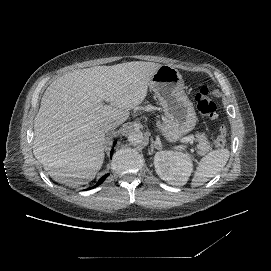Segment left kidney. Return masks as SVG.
I'll return each instance as SVG.
<instances>
[{
    "label": "left kidney",
    "instance_id": "obj_1",
    "mask_svg": "<svg viewBox=\"0 0 271 271\" xmlns=\"http://www.w3.org/2000/svg\"><path fill=\"white\" fill-rule=\"evenodd\" d=\"M154 166L162 180L176 186L185 185L193 170L189 154L183 155L173 151L157 152L154 156Z\"/></svg>",
    "mask_w": 271,
    "mask_h": 271
}]
</instances>
